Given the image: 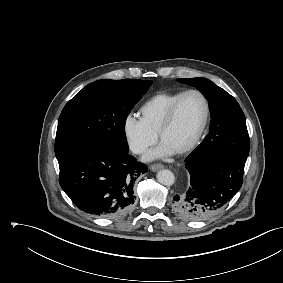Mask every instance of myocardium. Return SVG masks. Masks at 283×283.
Instances as JSON below:
<instances>
[{"instance_id": "obj_1", "label": "myocardium", "mask_w": 283, "mask_h": 283, "mask_svg": "<svg viewBox=\"0 0 283 283\" xmlns=\"http://www.w3.org/2000/svg\"><path fill=\"white\" fill-rule=\"evenodd\" d=\"M191 94H195L198 95L204 103V107H205V112H204V117H203V121L202 124L196 134V136L194 137V139L183 149L179 150L178 152H176L177 154L183 155L186 153H189L191 151H193L201 142L202 137L207 129V126L209 124V120H210V115H211V107H210V102L208 97L200 90L198 89H189L184 91L175 101L174 103L171 105L170 109L167 112V115L158 131V138L162 141L163 139V135L165 134V132L167 130H169V128L172 126L178 108L181 104V102L183 101V99Z\"/></svg>"}]
</instances>
